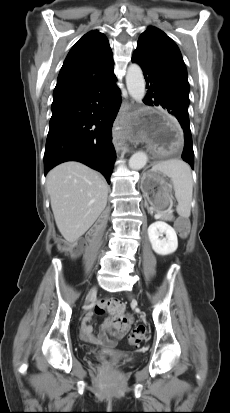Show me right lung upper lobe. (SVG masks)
Here are the masks:
<instances>
[{"mask_svg": "<svg viewBox=\"0 0 230 413\" xmlns=\"http://www.w3.org/2000/svg\"><path fill=\"white\" fill-rule=\"evenodd\" d=\"M108 39L98 31L85 34L70 50L60 70L53 97L85 90L113 75Z\"/></svg>", "mask_w": 230, "mask_h": 413, "instance_id": "obj_1", "label": "right lung upper lobe"}]
</instances>
